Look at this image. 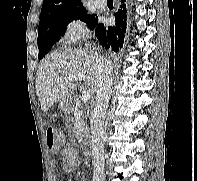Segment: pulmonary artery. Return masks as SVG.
Returning <instances> with one entry per match:
<instances>
[{
    "label": "pulmonary artery",
    "instance_id": "1",
    "mask_svg": "<svg viewBox=\"0 0 197 181\" xmlns=\"http://www.w3.org/2000/svg\"><path fill=\"white\" fill-rule=\"evenodd\" d=\"M94 4L96 7L102 9L106 6V0H94Z\"/></svg>",
    "mask_w": 197,
    "mask_h": 181
}]
</instances>
